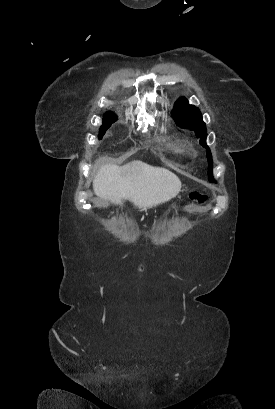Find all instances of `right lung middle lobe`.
Listing matches in <instances>:
<instances>
[{"mask_svg":"<svg viewBox=\"0 0 275 409\" xmlns=\"http://www.w3.org/2000/svg\"><path fill=\"white\" fill-rule=\"evenodd\" d=\"M116 116L112 113H106L103 118V125L100 127L99 139L105 134L106 130L111 126V123L116 121Z\"/></svg>","mask_w":275,"mask_h":409,"instance_id":"obj_1","label":"right lung middle lobe"}]
</instances>
